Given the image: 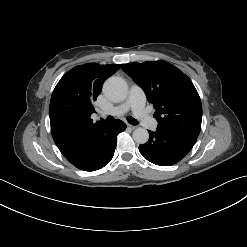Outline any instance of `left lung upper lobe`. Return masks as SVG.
<instances>
[{"label": "left lung upper lobe", "mask_w": 247, "mask_h": 247, "mask_svg": "<svg viewBox=\"0 0 247 247\" xmlns=\"http://www.w3.org/2000/svg\"><path fill=\"white\" fill-rule=\"evenodd\" d=\"M156 109L158 129L198 137L202 121L200 97L191 80L166 61L122 64Z\"/></svg>", "instance_id": "obj_1"}]
</instances>
